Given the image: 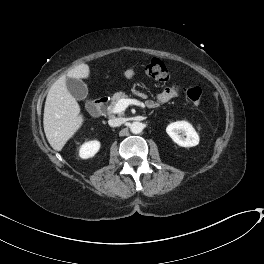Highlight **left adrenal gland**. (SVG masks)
Returning a JSON list of instances; mask_svg holds the SVG:
<instances>
[{"label": "left adrenal gland", "mask_w": 264, "mask_h": 264, "mask_svg": "<svg viewBox=\"0 0 264 264\" xmlns=\"http://www.w3.org/2000/svg\"><path fill=\"white\" fill-rule=\"evenodd\" d=\"M152 113H153V111H152V112H150V113H149V115H151Z\"/></svg>", "instance_id": "obj_1"}]
</instances>
